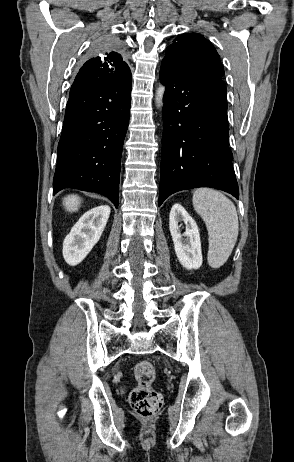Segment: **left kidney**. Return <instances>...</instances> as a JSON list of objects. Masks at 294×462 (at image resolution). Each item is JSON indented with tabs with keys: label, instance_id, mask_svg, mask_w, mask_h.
I'll list each match as a JSON object with an SVG mask.
<instances>
[{
	"label": "left kidney",
	"instance_id": "1",
	"mask_svg": "<svg viewBox=\"0 0 294 462\" xmlns=\"http://www.w3.org/2000/svg\"><path fill=\"white\" fill-rule=\"evenodd\" d=\"M181 221L186 225V230L183 234H181L178 225ZM169 229L175 253L181 265L188 270L200 268L202 265V252L198 227L193 218L180 204H174L170 211Z\"/></svg>",
	"mask_w": 294,
	"mask_h": 462
}]
</instances>
